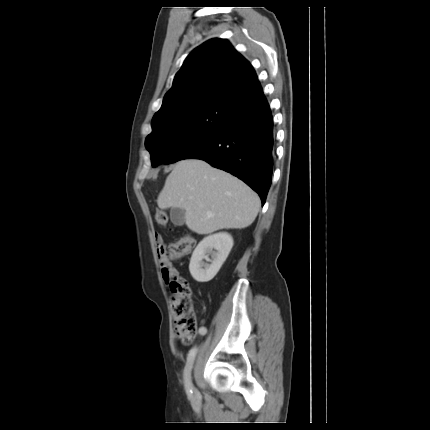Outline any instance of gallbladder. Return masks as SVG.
Masks as SVG:
<instances>
[{
  "label": "gallbladder",
  "instance_id": "gallbladder-1",
  "mask_svg": "<svg viewBox=\"0 0 430 430\" xmlns=\"http://www.w3.org/2000/svg\"><path fill=\"white\" fill-rule=\"evenodd\" d=\"M170 218L175 226H182L185 222V211L181 208H171Z\"/></svg>",
  "mask_w": 430,
  "mask_h": 430
}]
</instances>
